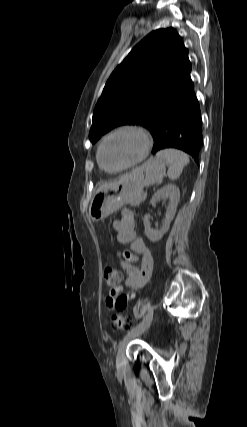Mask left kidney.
<instances>
[{"instance_id": "obj_1", "label": "left kidney", "mask_w": 247, "mask_h": 427, "mask_svg": "<svg viewBox=\"0 0 247 427\" xmlns=\"http://www.w3.org/2000/svg\"><path fill=\"white\" fill-rule=\"evenodd\" d=\"M161 198H169L170 202L166 210V220L164 225L160 229H152L149 215L146 214L144 216V227H145V234L148 237V239L152 242L159 241L164 234L167 233L170 227V223L173 220L177 205L179 203L180 199V191L179 188L175 184H167L160 190H158L152 197L150 203H155Z\"/></svg>"}]
</instances>
